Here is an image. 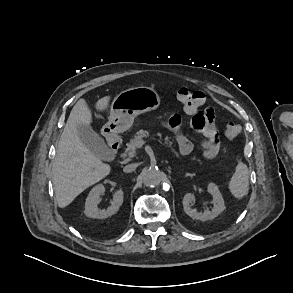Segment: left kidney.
<instances>
[{"label":"left kidney","instance_id":"obj_1","mask_svg":"<svg viewBox=\"0 0 293 293\" xmlns=\"http://www.w3.org/2000/svg\"><path fill=\"white\" fill-rule=\"evenodd\" d=\"M207 190L213 196L214 200V207L211 209V211H206L202 213L198 212L196 209H192L191 204L195 200L194 194L187 193L183 197L182 204L184 211L192 219L201 221L212 220L224 211V200L218 186L215 183H209L207 186Z\"/></svg>","mask_w":293,"mask_h":293}]
</instances>
